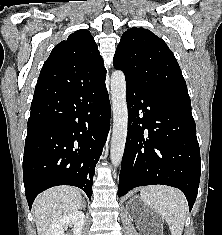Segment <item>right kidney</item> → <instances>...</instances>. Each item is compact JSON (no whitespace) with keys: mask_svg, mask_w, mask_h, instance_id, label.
Wrapping results in <instances>:
<instances>
[{"mask_svg":"<svg viewBox=\"0 0 222 235\" xmlns=\"http://www.w3.org/2000/svg\"><path fill=\"white\" fill-rule=\"evenodd\" d=\"M84 223L85 214L77 211L52 224L46 235H65L64 230L68 226H73V235H81Z\"/></svg>","mask_w":222,"mask_h":235,"instance_id":"1","label":"right kidney"}]
</instances>
